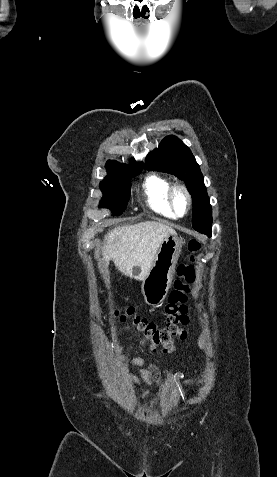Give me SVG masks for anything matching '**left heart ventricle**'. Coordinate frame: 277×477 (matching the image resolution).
Masks as SVG:
<instances>
[{"label": "left heart ventricle", "mask_w": 277, "mask_h": 477, "mask_svg": "<svg viewBox=\"0 0 277 477\" xmlns=\"http://www.w3.org/2000/svg\"><path fill=\"white\" fill-rule=\"evenodd\" d=\"M175 203L178 211L183 213L186 209L187 202L185 196L182 193L178 192L176 194Z\"/></svg>", "instance_id": "b2bd125f"}]
</instances>
